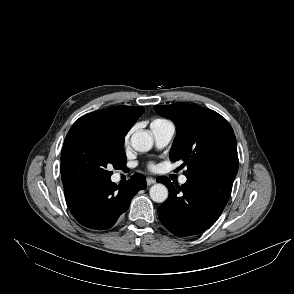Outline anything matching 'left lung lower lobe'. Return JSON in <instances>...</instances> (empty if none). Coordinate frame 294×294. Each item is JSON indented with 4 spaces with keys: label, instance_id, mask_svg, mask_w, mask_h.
I'll use <instances>...</instances> for the list:
<instances>
[{
    "label": "left lung lower lobe",
    "instance_id": "0a47b994",
    "mask_svg": "<svg viewBox=\"0 0 294 294\" xmlns=\"http://www.w3.org/2000/svg\"><path fill=\"white\" fill-rule=\"evenodd\" d=\"M232 158L202 175L187 177L181 186L164 176L157 179L169 189V197L158 208V216L170 232L191 236L214 224L228 202L238 170L234 169Z\"/></svg>",
    "mask_w": 294,
    "mask_h": 294
}]
</instances>
